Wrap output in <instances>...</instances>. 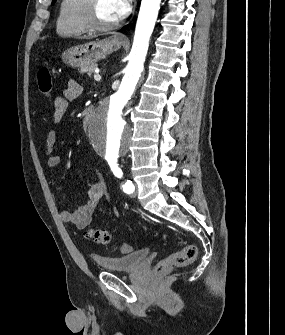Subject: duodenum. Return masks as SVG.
I'll list each match as a JSON object with an SVG mask.
<instances>
[{"instance_id":"obj_1","label":"duodenum","mask_w":285,"mask_h":335,"mask_svg":"<svg viewBox=\"0 0 285 335\" xmlns=\"http://www.w3.org/2000/svg\"><path fill=\"white\" fill-rule=\"evenodd\" d=\"M93 114V109L89 108L86 110L84 118H83V126L86 128L88 125V122Z\"/></svg>"}]
</instances>
